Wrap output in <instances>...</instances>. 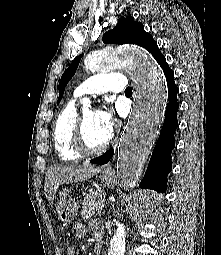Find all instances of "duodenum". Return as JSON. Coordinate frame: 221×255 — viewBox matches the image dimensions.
Returning <instances> with one entry per match:
<instances>
[{
    "label": "duodenum",
    "mask_w": 221,
    "mask_h": 255,
    "mask_svg": "<svg viewBox=\"0 0 221 255\" xmlns=\"http://www.w3.org/2000/svg\"><path fill=\"white\" fill-rule=\"evenodd\" d=\"M102 253V238H96L94 245V254L101 255Z\"/></svg>",
    "instance_id": "duodenum-1"
}]
</instances>
